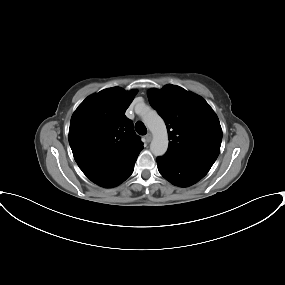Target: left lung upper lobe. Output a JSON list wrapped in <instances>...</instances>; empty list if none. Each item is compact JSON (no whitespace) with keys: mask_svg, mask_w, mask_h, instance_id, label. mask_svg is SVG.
Segmentation results:
<instances>
[{"mask_svg":"<svg viewBox=\"0 0 285 285\" xmlns=\"http://www.w3.org/2000/svg\"><path fill=\"white\" fill-rule=\"evenodd\" d=\"M148 98L167 126L166 154L211 167L220 152L222 129L208 103L175 85L151 89Z\"/></svg>","mask_w":285,"mask_h":285,"instance_id":"left-lung-upper-lobe-1","label":"left lung upper lobe"}]
</instances>
